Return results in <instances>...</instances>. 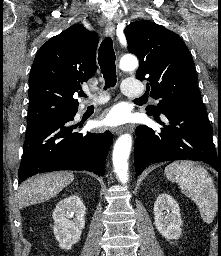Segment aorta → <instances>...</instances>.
<instances>
[{
    "label": "aorta",
    "instance_id": "762f6f07",
    "mask_svg": "<svg viewBox=\"0 0 221 256\" xmlns=\"http://www.w3.org/2000/svg\"><path fill=\"white\" fill-rule=\"evenodd\" d=\"M120 69L124 71L134 70L138 67V61L134 57H123L119 64ZM132 146V137L130 134L121 135L115 142L113 149V167L119 181L123 184L129 180L128 158Z\"/></svg>",
    "mask_w": 221,
    "mask_h": 256
}]
</instances>
